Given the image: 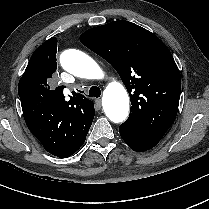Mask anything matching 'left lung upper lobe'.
<instances>
[{
  "label": "left lung upper lobe",
  "instance_id": "5c2ea615",
  "mask_svg": "<svg viewBox=\"0 0 209 209\" xmlns=\"http://www.w3.org/2000/svg\"><path fill=\"white\" fill-rule=\"evenodd\" d=\"M80 41L108 61L127 88L132 107L123 124L161 140L176 118L181 92L180 72L167 46L125 20L89 29Z\"/></svg>",
  "mask_w": 209,
  "mask_h": 209
}]
</instances>
